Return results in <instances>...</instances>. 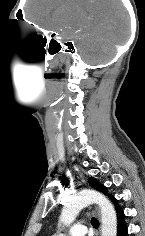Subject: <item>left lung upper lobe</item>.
<instances>
[{"instance_id": "5c2ea615", "label": "left lung upper lobe", "mask_w": 145, "mask_h": 236, "mask_svg": "<svg viewBox=\"0 0 145 236\" xmlns=\"http://www.w3.org/2000/svg\"><path fill=\"white\" fill-rule=\"evenodd\" d=\"M89 184L91 187L101 191L102 193L107 195L106 187L104 185H101L96 179L89 178ZM111 200L115 203L116 209H119V206L117 205V199H115L113 196H110Z\"/></svg>"}]
</instances>
